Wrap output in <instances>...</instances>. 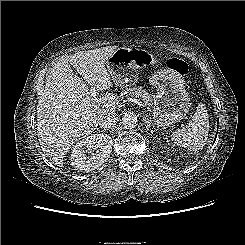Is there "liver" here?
Returning a JSON list of instances; mask_svg holds the SVG:
<instances>
[{"instance_id": "liver-1", "label": "liver", "mask_w": 245, "mask_h": 245, "mask_svg": "<svg viewBox=\"0 0 245 245\" xmlns=\"http://www.w3.org/2000/svg\"><path fill=\"white\" fill-rule=\"evenodd\" d=\"M117 49L114 45L61 56L51 69L38 100L37 135L43 152L56 166H63L66 153L93 133L103 116L116 111L115 94L92 98L88 85L100 91L113 85L105 62Z\"/></svg>"}]
</instances>
